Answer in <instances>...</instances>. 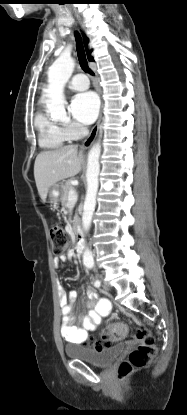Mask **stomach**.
Listing matches in <instances>:
<instances>
[{
  "instance_id": "0dacf381",
  "label": "stomach",
  "mask_w": 187,
  "mask_h": 415,
  "mask_svg": "<svg viewBox=\"0 0 187 415\" xmlns=\"http://www.w3.org/2000/svg\"><path fill=\"white\" fill-rule=\"evenodd\" d=\"M61 194L62 186L59 184L52 185L48 191V203H50L51 206L56 207L59 203Z\"/></svg>"
}]
</instances>
